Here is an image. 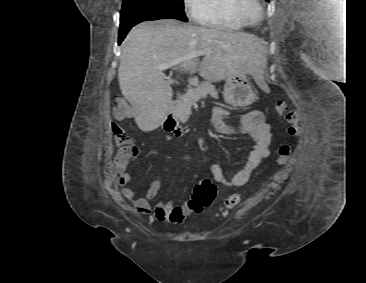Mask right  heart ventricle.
Segmentation results:
<instances>
[{
	"label": "right heart ventricle",
	"mask_w": 366,
	"mask_h": 283,
	"mask_svg": "<svg viewBox=\"0 0 366 283\" xmlns=\"http://www.w3.org/2000/svg\"><path fill=\"white\" fill-rule=\"evenodd\" d=\"M236 0H206L200 24L220 30L243 29L246 24L238 17Z\"/></svg>",
	"instance_id": "e07e8e85"
}]
</instances>
